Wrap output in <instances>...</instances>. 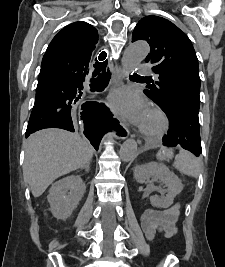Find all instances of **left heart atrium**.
<instances>
[{
    "instance_id": "obj_1",
    "label": "left heart atrium",
    "mask_w": 225,
    "mask_h": 267,
    "mask_svg": "<svg viewBox=\"0 0 225 267\" xmlns=\"http://www.w3.org/2000/svg\"><path fill=\"white\" fill-rule=\"evenodd\" d=\"M109 104L120 116L138 127L142 126L148 112L143 96L127 87L114 90L109 96Z\"/></svg>"
}]
</instances>
